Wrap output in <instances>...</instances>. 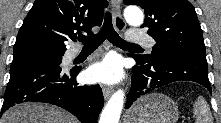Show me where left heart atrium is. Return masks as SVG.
I'll return each instance as SVG.
<instances>
[{"instance_id": "1", "label": "left heart atrium", "mask_w": 221, "mask_h": 123, "mask_svg": "<svg viewBox=\"0 0 221 123\" xmlns=\"http://www.w3.org/2000/svg\"><path fill=\"white\" fill-rule=\"evenodd\" d=\"M122 76V66L118 58L109 56L92 65L87 71L91 82L113 83Z\"/></svg>"}]
</instances>
